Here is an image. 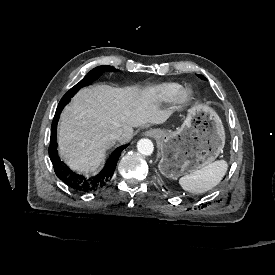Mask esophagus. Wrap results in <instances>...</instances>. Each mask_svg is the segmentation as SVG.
Instances as JSON below:
<instances>
[{
  "mask_svg": "<svg viewBox=\"0 0 275 275\" xmlns=\"http://www.w3.org/2000/svg\"><path fill=\"white\" fill-rule=\"evenodd\" d=\"M144 135L147 137L156 138L159 136V132L156 129H150V130H147L146 132H144Z\"/></svg>",
  "mask_w": 275,
  "mask_h": 275,
  "instance_id": "esophagus-1",
  "label": "esophagus"
}]
</instances>
